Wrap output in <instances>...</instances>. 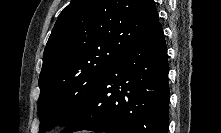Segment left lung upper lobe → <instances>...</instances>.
I'll return each mask as SVG.
<instances>
[{"label": "left lung upper lobe", "mask_w": 221, "mask_h": 133, "mask_svg": "<svg viewBox=\"0 0 221 133\" xmlns=\"http://www.w3.org/2000/svg\"><path fill=\"white\" fill-rule=\"evenodd\" d=\"M158 19L154 0H71L43 54L40 133L69 125L108 67Z\"/></svg>", "instance_id": "left-lung-upper-lobe-1"}]
</instances>
